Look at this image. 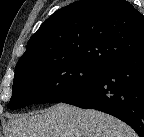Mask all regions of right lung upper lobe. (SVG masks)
Instances as JSON below:
<instances>
[{"label":"right lung upper lobe","instance_id":"1","mask_svg":"<svg viewBox=\"0 0 144 137\" xmlns=\"http://www.w3.org/2000/svg\"><path fill=\"white\" fill-rule=\"evenodd\" d=\"M143 49L144 16L132 4L80 0L40 26L16 67L72 59L107 69Z\"/></svg>","mask_w":144,"mask_h":137}]
</instances>
